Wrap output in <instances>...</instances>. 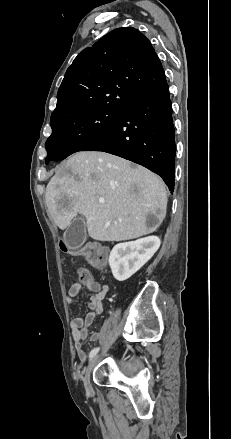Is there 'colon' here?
Returning a JSON list of instances; mask_svg holds the SVG:
<instances>
[{
  "label": "colon",
  "instance_id": "1",
  "mask_svg": "<svg viewBox=\"0 0 231 439\" xmlns=\"http://www.w3.org/2000/svg\"><path fill=\"white\" fill-rule=\"evenodd\" d=\"M60 247L62 251H68V246L64 242L60 243ZM80 253L98 269H103L107 264L108 252L104 247L97 245L96 241L84 244L80 248ZM78 273L82 282H86L90 278V274L86 269H79Z\"/></svg>",
  "mask_w": 231,
  "mask_h": 439
}]
</instances>
